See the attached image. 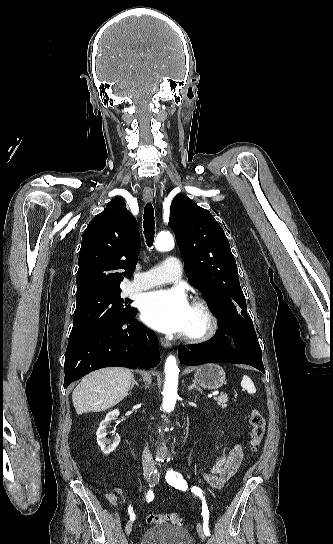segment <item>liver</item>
Listing matches in <instances>:
<instances>
[{
    "instance_id": "liver-1",
    "label": "liver",
    "mask_w": 333,
    "mask_h": 544,
    "mask_svg": "<svg viewBox=\"0 0 333 544\" xmlns=\"http://www.w3.org/2000/svg\"><path fill=\"white\" fill-rule=\"evenodd\" d=\"M132 376L130 370L120 367L100 369L85 376L72 393L77 414L104 411L121 402L128 395Z\"/></svg>"
}]
</instances>
